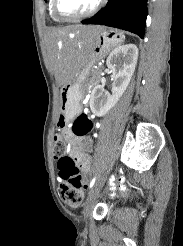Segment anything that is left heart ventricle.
Listing matches in <instances>:
<instances>
[{
	"mask_svg": "<svg viewBox=\"0 0 183 246\" xmlns=\"http://www.w3.org/2000/svg\"><path fill=\"white\" fill-rule=\"evenodd\" d=\"M98 0H60V11L68 16H76L90 10Z\"/></svg>",
	"mask_w": 183,
	"mask_h": 246,
	"instance_id": "1",
	"label": "left heart ventricle"
}]
</instances>
